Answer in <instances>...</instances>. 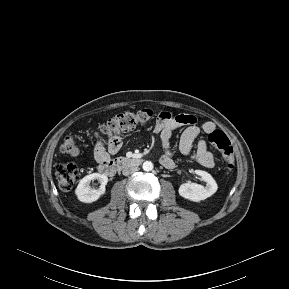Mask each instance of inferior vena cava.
Instances as JSON below:
<instances>
[{"mask_svg":"<svg viewBox=\"0 0 289 289\" xmlns=\"http://www.w3.org/2000/svg\"><path fill=\"white\" fill-rule=\"evenodd\" d=\"M136 171H138V167L131 166V167L124 168L122 173H123V175L127 176V175H130Z\"/></svg>","mask_w":289,"mask_h":289,"instance_id":"obj_1","label":"inferior vena cava"}]
</instances>
